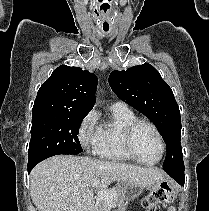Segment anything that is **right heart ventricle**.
Masks as SVG:
<instances>
[{
  "mask_svg": "<svg viewBox=\"0 0 209 211\" xmlns=\"http://www.w3.org/2000/svg\"><path fill=\"white\" fill-rule=\"evenodd\" d=\"M135 119V115L130 110H111L110 120L100 125V137L93 149L94 154L107 161L131 162L132 159L123 148L122 137L125 127Z\"/></svg>",
  "mask_w": 209,
  "mask_h": 211,
  "instance_id": "e07e8e85",
  "label": "right heart ventricle"
}]
</instances>
